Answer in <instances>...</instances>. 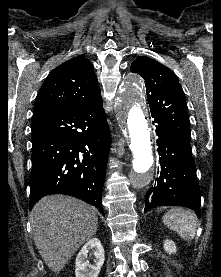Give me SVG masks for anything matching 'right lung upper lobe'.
Wrapping results in <instances>:
<instances>
[{
	"instance_id": "obj_1",
	"label": "right lung upper lobe",
	"mask_w": 221,
	"mask_h": 277,
	"mask_svg": "<svg viewBox=\"0 0 221 277\" xmlns=\"http://www.w3.org/2000/svg\"><path fill=\"white\" fill-rule=\"evenodd\" d=\"M101 98L93 65L85 57L77 56L47 76L38 93L34 114L76 109Z\"/></svg>"
}]
</instances>
